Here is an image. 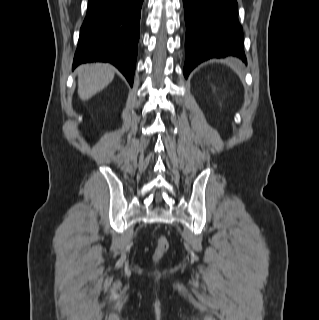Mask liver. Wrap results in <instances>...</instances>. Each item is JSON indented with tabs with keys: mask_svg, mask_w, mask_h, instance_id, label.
<instances>
[{
	"mask_svg": "<svg viewBox=\"0 0 319 320\" xmlns=\"http://www.w3.org/2000/svg\"><path fill=\"white\" fill-rule=\"evenodd\" d=\"M78 75V95L86 101L103 90L114 78V68L106 63L81 65Z\"/></svg>",
	"mask_w": 319,
	"mask_h": 320,
	"instance_id": "1",
	"label": "liver"
}]
</instances>
